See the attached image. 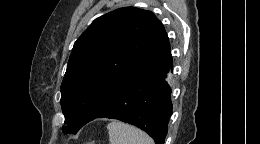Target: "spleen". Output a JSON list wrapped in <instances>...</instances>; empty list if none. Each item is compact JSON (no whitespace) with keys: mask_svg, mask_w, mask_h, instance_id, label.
Segmentation results:
<instances>
[{"mask_svg":"<svg viewBox=\"0 0 260 144\" xmlns=\"http://www.w3.org/2000/svg\"><path fill=\"white\" fill-rule=\"evenodd\" d=\"M107 129L110 144H154L145 132L117 120L111 121Z\"/></svg>","mask_w":260,"mask_h":144,"instance_id":"3e777b00","label":"spleen"}]
</instances>
